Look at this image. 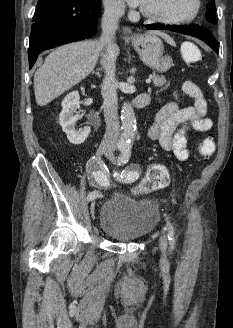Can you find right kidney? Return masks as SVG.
Wrapping results in <instances>:
<instances>
[{
	"label": "right kidney",
	"mask_w": 233,
	"mask_h": 328,
	"mask_svg": "<svg viewBox=\"0 0 233 328\" xmlns=\"http://www.w3.org/2000/svg\"><path fill=\"white\" fill-rule=\"evenodd\" d=\"M80 109V96L78 91H72L62 101V111L59 114V122L67 139L75 145L82 144L89 136L91 129L85 126L81 131L75 130L76 122L82 116L77 113ZM75 113H77L75 115Z\"/></svg>",
	"instance_id": "1"
}]
</instances>
